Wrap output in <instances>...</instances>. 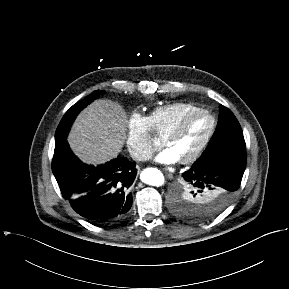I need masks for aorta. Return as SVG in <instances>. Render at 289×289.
<instances>
[{
  "label": "aorta",
  "instance_id": "obj_1",
  "mask_svg": "<svg viewBox=\"0 0 289 289\" xmlns=\"http://www.w3.org/2000/svg\"><path fill=\"white\" fill-rule=\"evenodd\" d=\"M140 178L142 182L151 186H161L164 184L162 172L156 168H146L142 171Z\"/></svg>",
  "mask_w": 289,
  "mask_h": 289
}]
</instances>
